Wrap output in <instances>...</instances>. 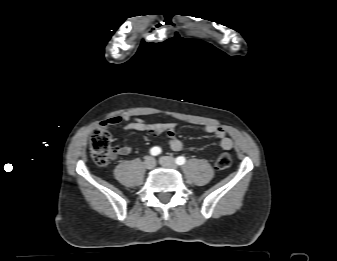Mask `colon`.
<instances>
[{"mask_svg": "<svg viewBox=\"0 0 337 261\" xmlns=\"http://www.w3.org/2000/svg\"><path fill=\"white\" fill-rule=\"evenodd\" d=\"M90 152L95 163L99 165L107 164L113 155L115 149L112 146V139L108 132L96 130L90 137ZM231 165V156L228 152H221L215 161L217 170H225Z\"/></svg>", "mask_w": 337, "mask_h": 261, "instance_id": "colon-1", "label": "colon"}]
</instances>
